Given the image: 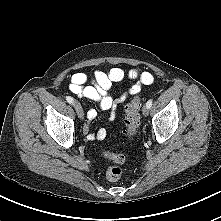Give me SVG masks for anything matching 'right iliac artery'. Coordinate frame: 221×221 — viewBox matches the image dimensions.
Masks as SVG:
<instances>
[{
    "mask_svg": "<svg viewBox=\"0 0 221 221\" xmlns=\"http://www.w3.org/2000/svg\"><path fill=\"white\" fill-rule=\"evenodd\" d=\"M66 100H67L68 103L73 104V98L72 97L67 96Z\"/></svg>",
    "mask_w": 221,
    "mask_h": 221,
    "instance_id": "82829eb1",
    "label": "right iliac artery"
}]
</instances>
